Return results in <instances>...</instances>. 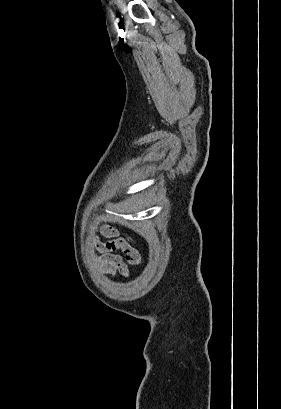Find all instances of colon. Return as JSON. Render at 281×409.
I'll return each mask as SVG.
<instances>
[{
  "instance_id": "obj_1",
  "label": "colon",
  "mask_w": 281,
  "mask_h": 409,
  "mask_svg": "<svg viewBox=\"0 0 281 409\" xmlns=\"http://www.w3.org/2000/svg\"><path fill=\"white\" fill-rule=\"evenodd\" d=\"M124 249H134V248H131L130 246H125Z\"/></svg>"
}]
</instances>
